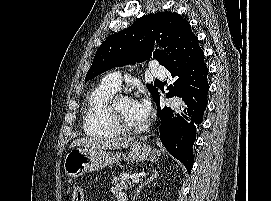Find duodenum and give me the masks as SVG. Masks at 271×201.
I'll return each mask as SVG.
<instances>
[{"instance_id": "1", "label": "duodenum", "mask_w": 271, "mask_h": 201, "mask_svg": "<svg viewBox=\"0 0 271 201\" xmlns=\"http://www.w3.org/2000/svg\"><path fill=\"white\" fill-rule=\"evenodd\" d=\"M117 201H128V199L125 194H119L117 196Z\"/></svg>"}]
</instances>
